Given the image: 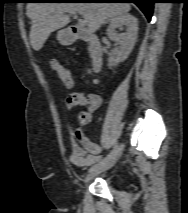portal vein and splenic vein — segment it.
<instances>
[{"mask_svg":"<svg viewBox=\"0 0 188 213\" xmlns=\"http://www.w3.org/2000/svg\"><path fill=\"white\" fill-rule=\"evenodd\" d=\"M75 18H77V17L75 16ZM78 25L81 26V27H84L86 25V21L83 20V19H78Z\"/></svg>","mask_w":188,"mask_h":213,"instance_id":"18ae733b","label":"portal vein and splenic vein"}]
</instances>
